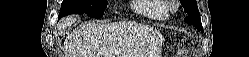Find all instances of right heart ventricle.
<instances>
[{"label": "right heart ventricle", "mask_w": 249, "mask_h": 57, "mask_svg": "<svg viewBox=\"0 0 249 57\" xmlns=\"http://www.w3.org/2000/svg\"><path fill=\"white\" fill-rule=\"evenodd\" d=\"M162 0H136L132 6L134 12L150 20H165L168 9Z\"/></svg>", "instance_id": "e07e8e85"}]
</instances>
